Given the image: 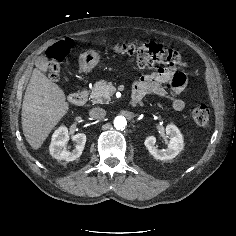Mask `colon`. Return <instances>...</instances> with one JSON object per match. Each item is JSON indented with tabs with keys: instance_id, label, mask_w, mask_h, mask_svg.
<instances>
[{
	"instance_id": "colon-1",
	"label": "colon",
	"mask_w": 236,
	"mask_h": 236,
	"mask_svg": "<svg viewBox=\"0 0 236 236\" xmlns=\"http://www.w3.org/2000/svg\"><path fill=\"white\" fill-rule=\"evenodd\" d=\"M72 47L73 43L71 41H61L48 49L49 74L53 80L59 79L61 63ZM112 50L119 56L134 59L140 67H152L156 64L178 68L186 67V61L179 52L169 46L158 43H120L114 45ZM191 115L199 126L205 127L210 123V110L205 105L194 107Z\"/></svg>"
}]
</instances>
